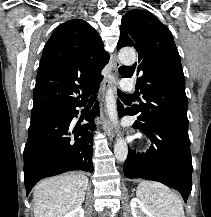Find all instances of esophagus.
Masks as SVG:
<instances>
[{
	"instance_id": "obj_1",
	"label": "esophagus",
	"mask_w": 211,
	"mask_h": 217,
	"mask_svg": "<svg viewBox=\"0 0 211 217\" xmlns=\"http://www.w3.org/2000/svg\"><path fill=\"white\" fill-rule=\"evenodd\" d=\"M111 62L113 63L112 72L110 74V77L106 80V82H105V84L103 85V88H102V95H101L102 106H103V102H104V99H105L106 91L109 88L114 87V85L117 83L118 69L121 66L116 53H114L111 56ZM102 118H103V127H104V130H105V133L107 134V136L109 137L110 140H113L114 132H113L112 126L110 124V121L106 118V116L104 114V110L102 111Z\"/></svg>"
}]
</instances>
